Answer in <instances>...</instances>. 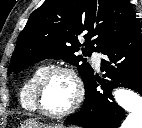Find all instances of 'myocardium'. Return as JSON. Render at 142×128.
Segmentation results:
<instances>
[{"label": "myocardium", "instance_id": "obj_1", "mask_svg": "<svg viewBox=\"0 0 142 128\" xmlns=\"http://www.w3.org/2000/svg\"><path fill=\"white\" fill-rule=\"evenodd\" d=\"M59 72L66 73L70 76L74 84L75 96H74V100L72 104L70 105L68 109L59 113H53L44 109L41 102V95H42V90L47 79L51 75L55 73H59ZM84 93L85 91H84V85H83L82 79L74 68L68 65L50 66L41 74V76L39 77L35 85L34 100H35L36 109L39 113H41L42 115L46 117L53 118V119H61L71 115L80 107L84 99Z\"/></svg>", "mask_w": 142, "mask_h": 128}]
</instances>
